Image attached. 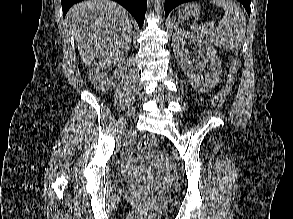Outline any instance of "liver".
<instances>
[{
	"mask_svg": "<svg viewBox=\"0 0 293 219\" xmlns=\"http://www.w3.org/2000/svg\"><path fill=\"white\" fill-rule=\"evenodd\" d=\"M66 22L85 65L94 58L122 56L130 49L132 27L128 12L109 0H86L71 7Z\"/></svg>",
	"mask_w": 293,
	"mask_h": 219,
	"instance_id": "1",
	"label": "liver"
}]
</instances>
